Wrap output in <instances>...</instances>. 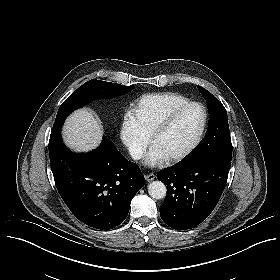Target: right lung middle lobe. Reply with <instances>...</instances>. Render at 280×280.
Here are the masks:
<instances>
[{"label": "right lung middle lobe", "instance_id": "obj_1", "mask_svg": "<svg viewBox=\"0 0 280 280\" xmlns=\"http://www.w3.org/2000/svg\"><path fill=\"white\" fill-rule=\"evenodd\" d=\"M132 88L133 86H123L99 80L88 81L61 104L54 124H61L73 109L81 107L85 103L97 98L117 97L131 91Z\"/></svg>", "mask_w": 280, "mask_h": 280}]
</instances>
